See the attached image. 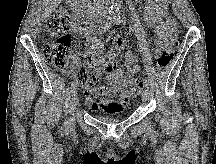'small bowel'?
Here are the masks:
<instances>
[{
  "label": "small bowel",
  "mask_w": 216,
  "mask_h": 164,
  "mask_svg": "<svg viewBox=\"0 0 216 164\" xmlns=\"http://www.w3.org/2000/svg\"><path fill=\"white\" fill-rule=\"evenodd\" d=\"M75 20L74 30L86 37L85 57L91 67L106 72V86L83 89L85 104L90 110H102L107 113L121 112L129 102L128 88L132 85L134 77L141 71L139 59L129 51L125 52L127 70L119 67L116 62L117 53L125 51V40L116 36L114 38L115 50L103 53V43L100 39L91 36L90 28L80 27L78 17ZM145 21L155 30V56L158 58L167 46L168 33L174 26V21L169 14L168 0H148L145 8ZM99 96L104 99L98 100ZM118 96L117 99L113 97Z\"/></svg>",
  "instance_id": "1"
}]
</instances>
